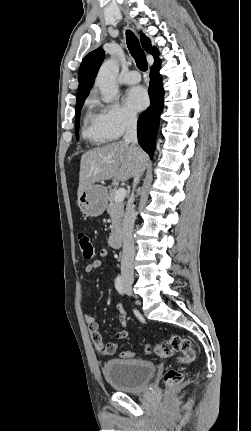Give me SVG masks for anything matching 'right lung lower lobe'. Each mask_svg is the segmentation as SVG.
Returning <instances> with one entry per match:
<instances>
[{"label": "right lung lower lobe", "mask_w": 251, "mask_h": 431, "mask_svg": "<svg viewBox=\"0 0 251 431\" xmlns=\"http://www.w3.org/2000/svg\"><path fill=\"white\" fill-rule=\"evenodd\" d=\"M161 61L155 60L150 72V86L148 89L150 107L141 113L137 123L138 142L149 156L153 157L156 136L163 110L164 90L162 88V76L159 73Z\"/></svg>", "instance_id": "1"}]
</instances>
